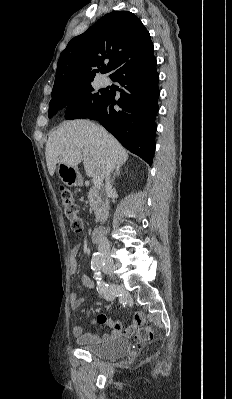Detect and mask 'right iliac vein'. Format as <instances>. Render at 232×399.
Masks as SVG:
<instances>
[{"label":"right iliac vein","instance_id":"obj_1","mask_svg":"<svg viewBox=\"0 0 232 399\" xmlns=\"http://www.w3.org/2000/svg\"><path fill=\"white\" fill-rule=\"evenodd\" d=\"M103 272L107 273V276L110 277L112 283L116 282L114 277V265L112 261H106V265L103 266Z\"/></svg>","mask_w":232,"mask_h":399}]
</instances>
